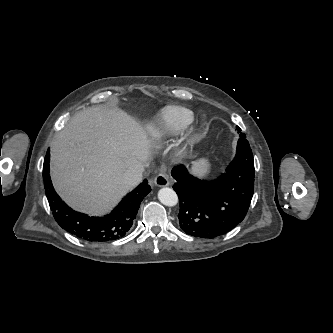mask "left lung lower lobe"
Instances as JSON below:
<instances>
[{
  "label": "left lung lower lobe",
  "instance_id": "0a47b994",
  "mask_svg": "<svg viewBox=\"0 0 333 333\" xmlns=\"http://www.w3.org/2000/svg\"><path fill=\"white\" fill-rule=\"evenodd\" d=\"M238 133L241 131L237 126ZM237 153L225 172L212 181L191 175L185 166L172 169L179 197V224L185 233L214 238L235 228L244 218L254 192V159L240 133Z\"/></svg>",
  "mask_w": 333,
  "mask_h": 333
}]
</instances>
